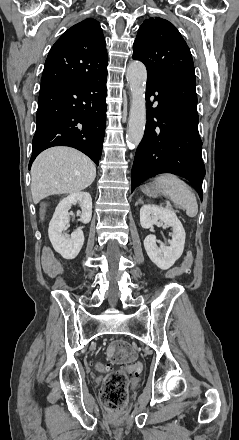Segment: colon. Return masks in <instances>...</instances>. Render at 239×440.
<instances>
[{
  "label": "colon",
  "mask_w": 239,
  "mask_h": 440,
  "mask_svg": "<svg viewBox=\"0 0 239 440\" xmlns=\"http://www.w3.org/2000/svg\"><path fill=\"white\" fill-rule=\"evenodd\" d=\"M194 255L192 251H188L180 266L172 268L168 273V278H175L189 271L193 263ZM108 354L111 361L115 364L127 367H120L110 371L102 384L101 396L105 408L108 411L117 413L125 406L128 398L127 378L128 372H138L141 369L139 362L135 361L136 354L133 347L124 340L114 341L109 349Z\"/></svg>",
  "instance_id": "5ec220e1"
}]
</instances>
